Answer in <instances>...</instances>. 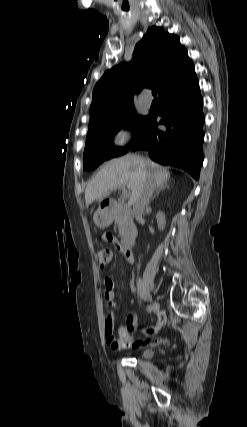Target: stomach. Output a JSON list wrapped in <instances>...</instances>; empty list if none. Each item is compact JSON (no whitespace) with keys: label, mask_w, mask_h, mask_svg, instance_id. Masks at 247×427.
<instances>
[{"label":"stomach","mask_w":247,"mask_h":427,"mask_svg":"<svg viewBox=\"0 0 247 427\" xmlns=\"http://www.w3.org/2000/svg\"><path fill=\"white\" fill-rule=\"evenodd\" d=\"M93 219L95 224L100 228H105L109 226L113 220L111 213L106 209H99L94 214Z\"/></svg>","instance_id":"obj_1"}]
</instances>
